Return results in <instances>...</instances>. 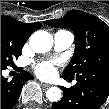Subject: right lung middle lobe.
<instances>
[{
    "label": "right lung middle lobe",
    "mask_w": 109,
    "mask_h": 109,
    "mask_svg": "<svg viewBox=\"0 0 109 109\" xmlns=\"http://www.w3.org/2000/svg\"><path fill=\"white\" fill-rule=\"evenodd\" d=\"M24 41L1 31V70L13 64V59L22 53Z\"/></svg>",
    "instance_id": "right-lung-middle-lobe-1"
}]
</instances>
